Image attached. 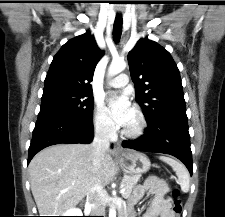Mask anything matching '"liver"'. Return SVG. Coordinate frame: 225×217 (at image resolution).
<instances>
[{"instance_id": "1", "label": "liver", "mask_w": 225, "mask_h": 217, "mask_svg": "<svg viewBox=\"0 0 225 217\" xmlns=\"http://www.w3.org/2000/svg\"><path fill=\"white\" fill-rule=\"evenodd\" d=\"M112 154L109 149L105 152L97 172L92 144H57L36 154L28 171L40 216H60L75 207L94 184H109L116 174Z\"/></svg>"}]
</instances>
